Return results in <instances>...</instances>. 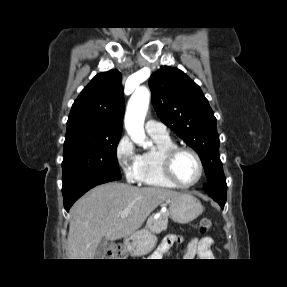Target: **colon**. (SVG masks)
Instances as JSON below:
<instances>
[{
	"label": "colon",
	"instance_id": "colon-1",
	"mask_svg": "<svg viewBox=\"0 0 287 287\" xmlns=\"http://www.w3.org/2000/svg\"><path fill=\"white\" fill-rule=\"evenodd\" d=\"M211 226L212 222L209 218L204 217L199 222V230L202 234L207 233L210 230ZM123 254L124 250L122 248H116L110 253V255L113 257H120Z\"/></svg>",
	"mask_w": 287,
	"mask_h": 287
}]
</instances>
